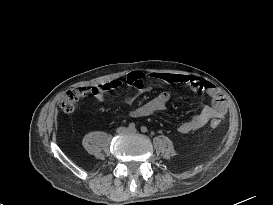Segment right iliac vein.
Masks as SVG:
<instances>
[{"label":"right iliac vein","mask_w":273,"mask_h":205,"mask_svg":"<svg viewBox=\"0 0 273 205\" xmlns=\"http://www.w3.org/2000/svg\"><path fill=\"white\" fill-rule=\"evenodd\" d=\"M117 132L119 134H124V133L128 132V129L125 128V127H120V128L117 129Z\"/></svg>","instance_id":"obj_1"}]
</instances>
